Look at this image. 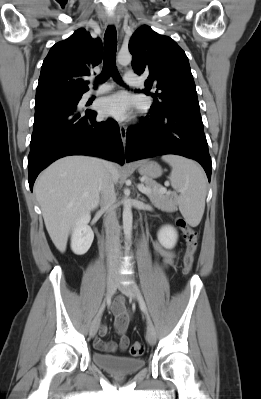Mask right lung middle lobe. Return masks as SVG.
Returning a JSON list of instances; mask_svg holds the SVG:
<instances>
[{
	"label": "right lung middle lobe",
	"mask_w": 261,
	"mask_h": 399,
	"mask_svg": "<svg viewBox=\"0 0 261 399\" xmlns=\"http://www.w3.org/2000/svg\"><path fill=\"white\" fill-rule=\"evenodd\" d=\"M82 95H73L66 97L53 98L48 100L38 101L35 104V110L44 109L56 105L77 107Z\"/></svg>",
	"instance_id": "1"
}]
</instances>
